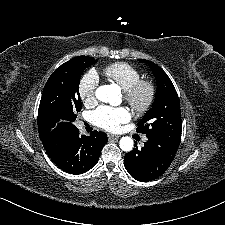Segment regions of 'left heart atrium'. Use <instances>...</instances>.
<instances>
[{"instance_id":"left-heart-atrium-1","label":"left heart atrium","mask_w":225,"mask_h":225,"mask_svg":"<svg viewBox=\"0 0 225 225\" xmlns=\"http://www.w3.org/2000/svg\"><path fill=\"white\" fill-rule=\"evenodd\" d=\"M93 122L110 132H116L121 124L131 119L130 111L125 107L101 106L92 113Z\"/></svg>"}]
</instances>
